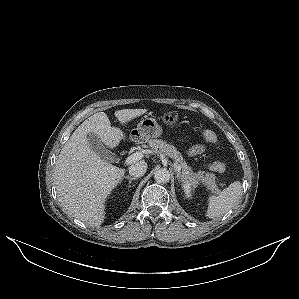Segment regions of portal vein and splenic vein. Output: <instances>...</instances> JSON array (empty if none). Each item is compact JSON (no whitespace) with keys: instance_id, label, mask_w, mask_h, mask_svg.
<instances>
[{"instance_id":"obj_1","label":"portal vein and splenic vein","mask_w":299,"mask_h":299,"mask_svg":"<svg viewBox=\"0 0 299 299\" xmlns=\"http://www.w3.org/2000/svg\"><path fill=\"white\" fill-rule=\"evenodd\" d=\"M143 157V154L141 152H136L130 155L129 157L126 158L125 163L127 165L135 163L136 161L140 160ZM176 170L180 171L181 167L176 165Z\"/></svg>"}]
</instances>
